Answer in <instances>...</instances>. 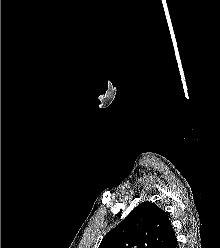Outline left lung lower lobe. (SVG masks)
Here are the masks:
<instances>
[{
	"label": "left lung lower lobe",
	"instance_id": "left-lung-lower-lobe-1",
	"mask_svg": "<svg viewBox=\"0 0 220 248\" xmlns=\"http://www.w3.org/2000/svg\"><path fill=\"white\" fill-rule=\"evenodd\" d=\"M166 248H179L178 247V242H177V239H176V236H174L170 242L168 243V245L166 246Z\"/></svg>",
	"mask_w": 220,
	"mask_h": 248
}]
</instances>
